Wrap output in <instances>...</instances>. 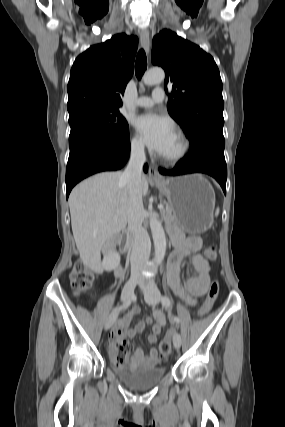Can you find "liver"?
Listing matches in <instances>:
<instances>
[{
	"instance_id": "liver-1",
	"label": "liver",
	"mask_w": 285,
	"mask_h": 427,
	"mask_svg": "<svg viewBox=\"0 0 285 427\" xmlns=\"http://www.w3.org/2000/svg\"><path fill=\"white\" fill-rule=\"evenodd\" d=\"M122 172H105L78 184L69 196L72 232L81 260L92 269L100 268L101 249L126 227L128 190ZM148 181L141 177V194Z\"/></svg>"
}]
</instances>
